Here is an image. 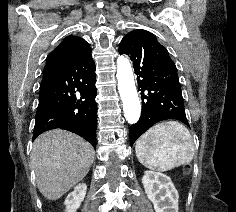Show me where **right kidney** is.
Instances as JSON below:
<instances>
[{
    "mask_svg": "<svg viewBox=\"0 0 236 212\" xmlns=\"http://www.w3.org/2000/svg\"><path fill=\"white\" fill-rule=\"evenodd\" d=\"M86 190L87 186L85 184H78L74 190L68 194L64 202L66 206L65 212H76L85 198Z\"/></svg>",
    "mask_w": 236,
    "mask_h": 212,
    "instance_id": "right-kidney-1",
    "label": "right kidney"
}]
</instances>
